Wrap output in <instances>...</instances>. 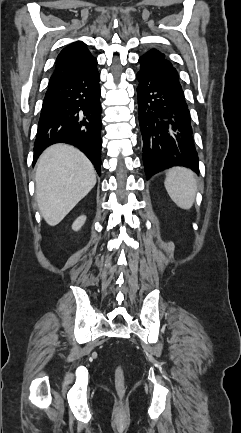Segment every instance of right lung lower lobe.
Instances as JSON below:
<instances>
[{
  "instance_id": "right-lung-lower-lobe-1",
  "label": "right lung lower lobe",
  "mask_w": 241,
  "mask_h": 433,
  "mask_svg": "<svg viewBox=\"0 0 241 433\" xmlns=\"http://www.w3.org/2000/svg\"><path fill=\"white\" fill-rule=\"evenodd\" d=\"M96 65L49 83L34 143V163L46 147L64 142L84 152L100 174V76Z\"/></svg>"
}]
</instances>
